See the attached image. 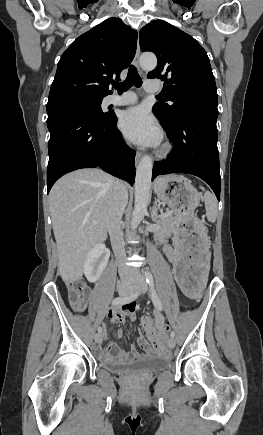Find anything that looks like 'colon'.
Returning a JSON list of instances; mask_svg holds the SVG:
<instances>
[{
	"label": "colon",
	"mask_w": 263,
	"mask_h": 435,
	"mask_svg": "<svg viewBox=\"0 0 263 435\" xmlns=\"http://www.w3.org/2000/svg\"><path fill=\"white\" fill-rule=\"evenodd\" d=\"M69 291L70 304L74 310L81 312L86 307V299L88 290L86 284L82 280L71 281L67 284ZM171 324H166L165 334L171 335ZM150 341V339H149ZM152 343V341H150Z\"/></svg>",
	"instance_id": "obj_1"
}]
</instances>
